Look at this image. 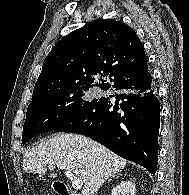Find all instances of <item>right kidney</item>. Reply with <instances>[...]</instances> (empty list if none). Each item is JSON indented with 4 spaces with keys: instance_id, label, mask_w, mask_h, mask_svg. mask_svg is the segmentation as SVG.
Instances as JSON below:
<instances>
[{
    "instance_id": "1",
    "label": "right kidney",
    "mask_w": 189,
    "mask_h": 195,
    "mask_svg": "<svg viewBox=\"0 0 189 195\" xmlns=\"http://www.w3.org/2000/svg\"><path fill=\"white\" fill-rule=\"evenodd\" d=\"M135 184L131 181H122L118 186L113 188L112 195H135Z\"/></svg>"
}]
</instances>
